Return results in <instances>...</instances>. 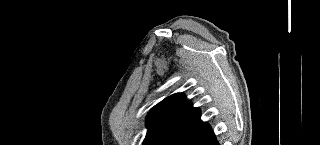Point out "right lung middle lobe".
Returning <instances> with one entry per match:
<instances>
[{"instance_id":"right-lung-middle-lobe-1","label":"right lung middle lobe","mask_w":320,"mask_h":145,"mask_svg":"<svg viewBox=\"0 0 320 145\" xmlns=\"http://www.w3.org/2000/svg\"><path fill=\"white\" fill-rule=\"evenodd\" d=\"M174 136L172 135H160L155 136L144 141V145H168Z\"/></svg>"}]
</instances>
